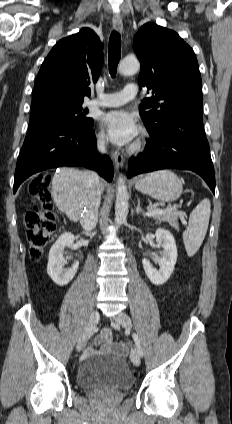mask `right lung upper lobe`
<instances>
[{
	"label": "right lung upper lobe",
	"mask_w": 232,
	"mask_h": 424,
	"mask_svg": "<svg viewBox=\"0 0 232 424\" xmlns=\"http://www.w3.org/2000/svg\"><path fill=\"white\" fill-rule=\"evenodd\" d=\"M103 63V47L89 28L63 38L52 48L37 75L31 108L61 103L82 105L90 96L89 84L97 81Z\"/></svg>",
	"instance_id": "1"
}]
</instances>
